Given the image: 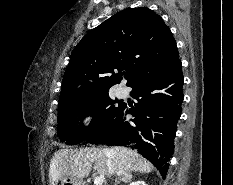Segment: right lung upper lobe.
Instances as JSON below:
<instances>
[{"label": "right lung upper lobe", "mask_w": 233, "mask_h": 185, "mask_svg": "<svg viewBox=\"0 0 233 185\" xmlns=\"http://www.w3.org/2000/svg\"><path fill=\"white\" fill-rule=\"evenodd\" d=\"M178 58L176 41L158 14L145 7L121 11L91 30L74 48L59 107L108 91L121 81L123 70L129 86L141 75Z\"/></svg>", "instance_id": "right-lung-upper-lobe-1"}]
</instances>
